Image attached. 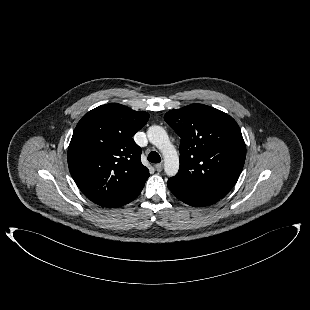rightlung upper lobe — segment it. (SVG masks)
<instances>
[{"mask_svg": "<svg viewBox=\"0 0 310 310\" xmlns=\"http://www.w3.org/2000/svg\"><path fill=\"white\" fill-rule=\"evenodd\" d=\"M148 119L147 112L110 103L89 111L79 121L68 148V166L91 201L119 207L140 194L150 174L132 137Z\"/></svg>", "mask_w": 310, "mask_h": 310, "instance_id": "cb5924a9", "label": "right lung upper lobe"}]
</instances>
